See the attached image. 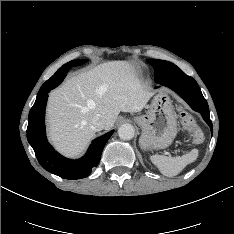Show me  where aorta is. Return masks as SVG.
Returning <instances> with one entry per match:
<instances>
[{
	"mask_svg": "<svg viewBox=\"0 0 234 234\" xmlns=\"http://www.w3.org/2000/svg\"><path fill=\"white\" fill-rule=\"evenodd\" d=\"M134 127L131 124H122L118 129V135L122 140H131L134 137Z\"/></svg>",
	"mask_w": 234,
	"mask_h": 234,
	"instance_id": "aorta-1",
	"label": "aorta"
}]
</instances>
